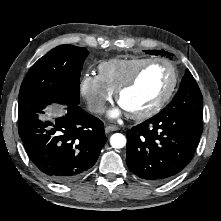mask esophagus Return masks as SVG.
Wrapping results in <instances>:
<instances>
[{
    "label": "esophagus",
    "mask_w": 221,
    "mask_h": 221,
    "mask_svg": "<svg viewBox=\"0 0 221 221\" xmlns=\"http://www.w3.org/2000/svg\"><path fill=\"white\" fill-rule=\"evenodd\" d=\"M119 128L117 126H114V125H108L105 127V132L106 133H110V132H113V131H117Z\"/></svg>",
    "instance_id": "34e87169"
}]
</instances>
